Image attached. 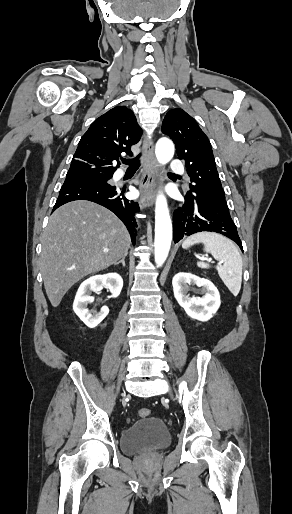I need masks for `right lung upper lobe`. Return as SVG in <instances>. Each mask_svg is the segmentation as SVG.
I'll use <instances>...</instances> for the list:
<instances>
[{
  "instance_id": "cb5924a9",
  "label": "right lung upper lobe",
  "mask_w": 292,
  "mask_h": 514,
  "mask_svg": "<svg viewBox=\"0 0 292 514\" xmlns=\"http://www.w3.org/2000/svg\"><path fill=\"white\" fill-rule=\"evenodd\" d=\"M142 129L132 110L117 106L97 118L79 141L68 173L113 174L124 152L132 156L131 146L138 143ZM117 161V166L113 163Z\"/></svg>"
}]
</instances>
